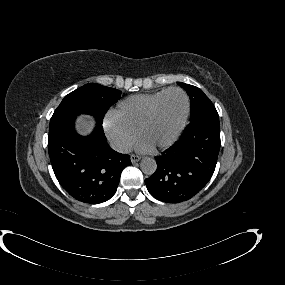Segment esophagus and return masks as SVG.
Returning a JSON list of instances; mask_svg holds the SVG:
<instances>
[{"label":"esophagus","mask_w":285,"mask_h":285,"mask_svg":"<svg viewBox=\"0 0 285 285\" xmlns=\"http://www.w3.org/2000/svg\"><path fill=\"white\" fill-rule=\"evenodd\" d=\"M140 160H141V157H140V156L135 155V154H132V155H131V162H132V163H136V162H138V161H140Z\"/></svg>","instance_id":"esophagus-1"}]
</instances>
